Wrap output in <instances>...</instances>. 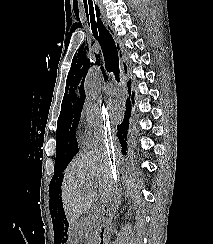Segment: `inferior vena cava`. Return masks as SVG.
Wrapping results in <instances>:
<instances>
[{
  "label": "inferior vena cava",
  "instance_id": "602c4592",
  "mask_svg": "<svg viewBox=\"0 0 213 244\" xmlns=\"http://www.w3.org/2000/svg\"><path fill=\"white\" fill-rule=\"evenodd\" d=\"M107 150V149H106ZM108 156H109V163H110V169L112 171V179L114 181L118 180L117 175V166H116V156L118 154L117 146L114 145V147L107 150ZM119 186L116 184L114 185L112 193L109 195V197L105 200V206H107V215L109 216L108 222H110V219L115 215L116 209L118 208V205L120 204L121 194L119 191Z\"/></svg>",
  "mask_w": 213,
  "mask_h": 244
}]
</instances>
